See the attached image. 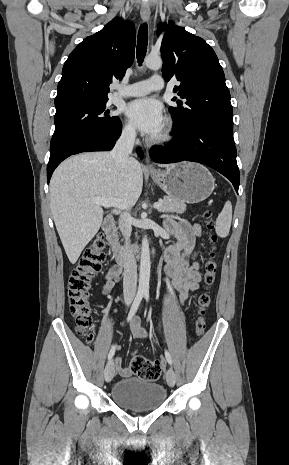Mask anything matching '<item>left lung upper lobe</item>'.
Masks as SVG:
<instances>
[{"label":"left lung upper lobe","mask_w":289,"mask_h":465,"mask_svg":"<svg viewBox=\"0 0 289 465\" xmlns=\"http://www.w3.org/2000/svg\"><path fill=\"white\" fill-rule=\"evenodd\" d=\"M172 24L159 25L157 32L166 30L161 43L163 76L166 81H180L174 92L186 100L183 107L182 101L172 99L179 104L169 107L174 127L204 123L233 130L230 92L214 50L202 38Z\"/></svg>","instance_id":"1"}]
</instances>
